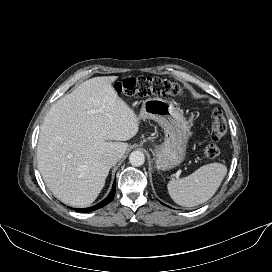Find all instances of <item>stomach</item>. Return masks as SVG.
Masks as SVG:
<instances>
[{"label":"stomach","instance_id":"0dacf381","mask_svg":"<svg viewBox=\"0 0 272 272\" xmlns=\"http://www.w3.org/2000/svg\"><path fill=\"white\" fill-rule=\"evenodd\" d=\"M153 119L164 129V142L153 150L156 168L166 171L179 166L185 159L189 127L182 113L161 98L145 100L137 117Z\"/></svg>","mask_w":272,"mask_h":272}]
</instances>
